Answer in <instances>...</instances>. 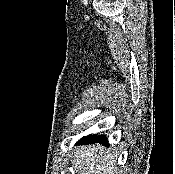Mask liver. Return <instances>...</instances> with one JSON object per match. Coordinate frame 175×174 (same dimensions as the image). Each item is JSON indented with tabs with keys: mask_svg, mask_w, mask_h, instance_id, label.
Instances as JSON below:
<instances>
[{
	"mask_svg": "<svg viewBox=\"0 0 175 174\" xmlns=\"http://www.w3.org/2000/svg\"><path fill=\"white\" fill-rule=\"evenodd\" d=\"M78 174H118L115 153L101 145H88L72 157Z\"/></svg>",
	"mask_w": 175,
	"mask_h": 174,
	"instance_id": "liver-1",
	"label": "liver"
}]
</instances>
